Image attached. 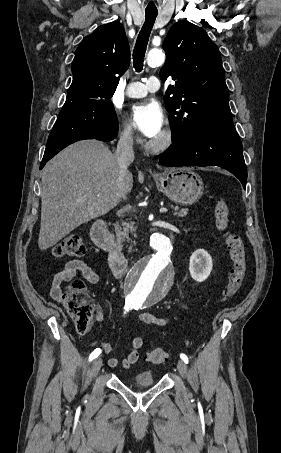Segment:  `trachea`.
Listing matches in <instances>:
<instances>
[{"instance_id": "trachea-1", "label": "trachea", "mask_w": 281, "mask_h": 453, "mask_svg": "<svg viewBox=\"0 0 281 453\" xmlns=\"http://www.w3.org/2000/svg\"><path fill=\"white\" fill-rule=\"evenodd\" d=\"M157 15L158 13H145V22L138 34L133 50V64L136 71H141L143 68L146 47Z\"/></svg>"}]
</instances>
